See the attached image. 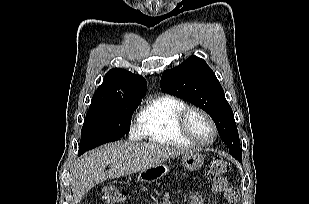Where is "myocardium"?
Returning a JSON list of instances; mask_svg holds the SVG:
<instances>
[{
    "label": "myocardium",
    "instance_id": "f54148a6",
    "mask_svg": "<svg viewBox=\"0 0 309 204\" xmlns=\"http://www.w3.org/2000/svg\"><path fill=\"white\" fill-rule=\"evenodd\" d=\"M196 112L201 114L210 124L212 129V137L208 141H199L191 132L189 128V116L191 113ZM178 127L180 132L183 134V136L189 140L192 144L197 146H209L211 145L216 137H217V126L212 119V117L209 115L208 112H206L204 109L198 107V106H186L179 114L178 117Z\"/></svg>",
    "mask_w": 309,
    "mask_h": 204
}]
</instances>
